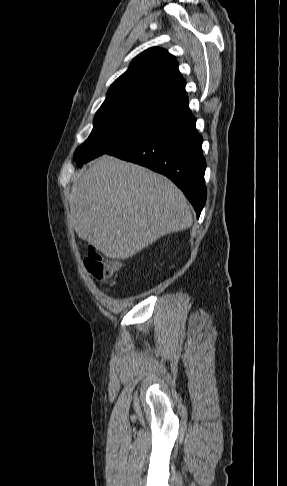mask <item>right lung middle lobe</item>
Returning a JSON list of instances; mask_svg holds the SVG:
<instances>
[{"instance_id":"1","label":"right lung middle lobe","mask_w":287,"mask_h":486,"mask_svg":"<svg viewBox=\"0 0 287 486\" xmlns=\"http://www.w3.org/2000/svg\"><path fill=\"white\" fill-rule=\"evenodd\" d=\"M171 112L147 104L101 106L94 117L88 139L77 148L74 160L79 167L143 134Z\"/></svg>"}]
</instances>
